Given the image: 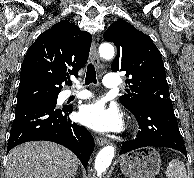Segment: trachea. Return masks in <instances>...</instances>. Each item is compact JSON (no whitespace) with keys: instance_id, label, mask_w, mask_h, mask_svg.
<instances>
[{"instance_id":"trachea-1","label":"trachea","mask_w":194,"mask_h":178,"mask_svg":"<svg viewBox=\"0 0 194 178\" xmlns=\"http://www.w3.org/2000/svg\"><path fill=\"white\" fill-rule=\"evenodd\" d=\"M90 83H97L95 67L92 63L88 64L85 78V85ZM68 85H72L71 82H67Z\"/></svg>"}]
</instances>
